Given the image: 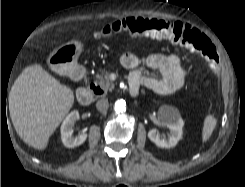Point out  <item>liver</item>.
<instances>
[{"mask_svg": "<svg viewBox=\"0 0 245 187\" xmlns=\"http://www.w3.org/2000/svg\"><path fill=\"white\" fill-rule=\"evenodd\" d=\"M74 103V93L41 65L26 67L9 93V111L19 137L43 150Z\"/></svg>", "mask_w": 245, "mask_h": 187, "instance_id": "6515ba94", "label": "liver"}]
</instances>
